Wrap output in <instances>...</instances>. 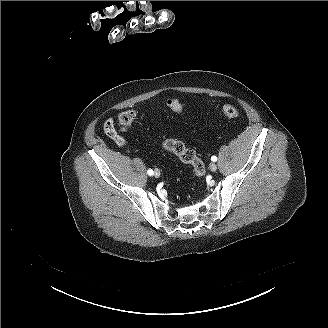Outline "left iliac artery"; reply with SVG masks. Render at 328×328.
<instances>
[{
    "label": "left iliac artery",
    "mask_w": 328,
    "mask_h": 328,
    "mask_svg": "<svg viewBox=\"0 0 328 328\" xmlns=\"http://www.w3.org/2000/svg\"><path fill=\"white\" fill-rule=\"evenodd\" d=\"M211 160H212L213 162H215V161H217V157H216V156H212V157H211Z\"/></svg>",
    "instance_id": "left-iliac-artery-1"
}]
</instances>
